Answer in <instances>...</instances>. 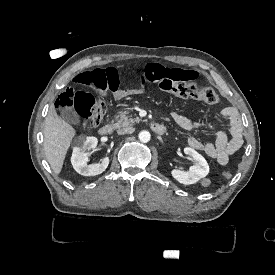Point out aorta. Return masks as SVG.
I'll use <instances>...</instances> for the list:
<instances>
[{"instance_id":"obj_1","label":"aorta","mask_w":275,"mask_h":275,"mask_svg":"<svg viewBox=\"0 0 275 275\" xmlns=\"http://www.w3.org/2000/svg\"><path fill=\"white\" fill-rule=\"evenodd\" d=\"M138 138L141 143H147L150 141L151 135L148 131H141L138 134Z\"/></svg>"}]
</instances>
